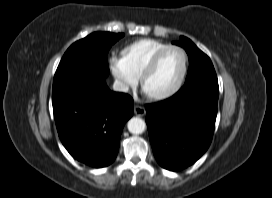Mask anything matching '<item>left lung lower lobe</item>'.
Wrapping results in <instances>:
<instances>
[{
  "label": "left lung lower lobe",
  "instance_id": "left-lung-lower-lobe-1",
  "mask_svg": "<svg viewBox=\"0 0 272 198\" xmlns=\"http://www.w3.org/2000/svg\"><path fill=\"white\" fill-rule=\"evenodd\" d=\"M219 86L216 76L193 79L171 98L146 105L155 158L167 170L195 163L208 149L215 127Z\"/></svg>",
  "mask_w": 272,
  "mask_h": 198
}]
</instances>
